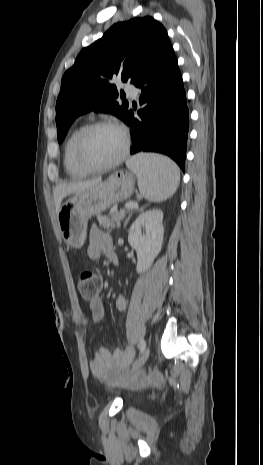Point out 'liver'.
I'll return each mask as SVG.
<instances>
[{"instance_id": "liver-1", "label": "liver", "mask_w": 263, "mask_h": 465, "mask_svg": "<svg viewBox=\"0 0 263 465\" xmlns=\"http://www.w3.org/2000/svg\"><path fill=\"white\" fill-rule=\"evenodd\" d=\"M102 182L101 178L80 181V182H72V183H62L56 186L54 190V203L56 208V214H58L62 200L71 194L82 192L87 190L91 187H94Z\"/></svg>"}]
</instances>
